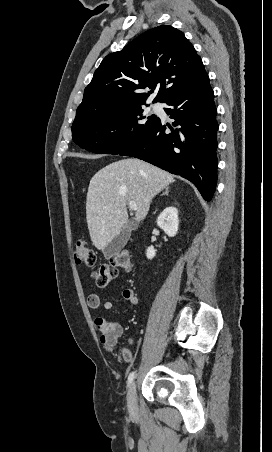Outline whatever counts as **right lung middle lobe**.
<instances>
[{
	"mask_svg": "<svg viewBox=\"0 0 272 452\" xmlns=\"http://www.w3.org/2000/svg\"><path fill=\"white\" fill-rule=\"evenodd\" d=\"M141 105L103 110L76 118L72 125L73 141L94 153H121L139 140L158 119L156 115L147 114Z\"/></svg>",
	"mask_w": 272,
	"mask_h": 452,
	"instance_id": "dd1d6c3e",
	"label": "right lung middle lobe"
}]
</instances>
